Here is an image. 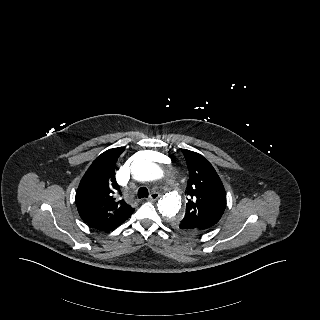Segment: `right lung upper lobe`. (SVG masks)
Listing matches in <instances>:
<instances>
[{"mask_svg":"<svg viewBox=\"0 0 320 320\" xmlns=\"http://www.w3.org/2000/svg\"><path fill=\"white\" fill-rule=\"evenodd\" d=\"M124 151L113 148L99 155L84 174L75 202L80 217L92 228L111 231L134 212L121 197L115 178L116 161Z\"/></svg>","mask_w":320,"mask_h":320,"instance_id":"obj_1","label":"right lung upper lobe"}]
</instances>
